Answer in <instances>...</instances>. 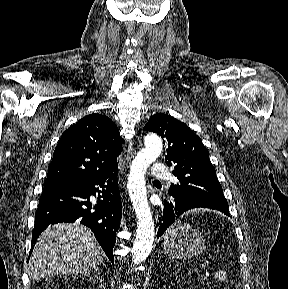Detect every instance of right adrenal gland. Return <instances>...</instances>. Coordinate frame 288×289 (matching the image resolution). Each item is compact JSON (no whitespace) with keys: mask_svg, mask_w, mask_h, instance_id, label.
<instances>
[{"mask_svg":"<svg viewBox=\"0 0 288 289\" xmlns=\"http://www.w3.org/2000/svg\"><path fill=\"white\" fill-rule=\"evenodd\" d=\"M98 275H99L98 273L95 275V277H96L97 280H99V276H98Z\"/></svg>","mask_w":288,"mask_h":289,"instance_id":"obj_1","label":"right adrenal gland"}]
</instances>
